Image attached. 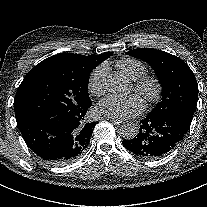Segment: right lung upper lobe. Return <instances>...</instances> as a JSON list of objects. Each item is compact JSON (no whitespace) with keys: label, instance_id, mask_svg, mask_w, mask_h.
I'll use <instances>...</instances> for the list:
<instances>
[{"label":"right lung upper lobe","instance_id":"1","mask_svg":"<svg viewBox=\"0 0 207 207\" xmlns=\"http://www.w3.org/2000/svg\"><path fill=\"white\" fill-rule=\"evenodd\" d=\"M113 52L99 55L84 56L80 54L64 53L46 58L39 64L68 66L82 73H91L101 62L109 58Z\"/></svg>","mask_w":207,"mask_h":207}]
</instances>
